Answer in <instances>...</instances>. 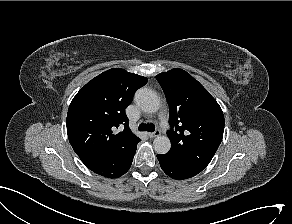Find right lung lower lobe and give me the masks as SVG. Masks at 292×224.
<instances>
[{
    "label": "right lung lower lobe",
    "mask_w": 292,
    "mask_h": 224,
    "mask_svg": "<svg viewBox=\"0 0 292 224\" xmlns=\"http://www.w3.org/2000/svg\"><path fill=\"white\" fill-rule=\"evenodd\" d=\"M135 151L136 147L128 153L121 154L78 153L77 155L94 173L107 178H117L129 170Z\"/></svg>",
    "instance_id": "obj_1"
}]
</instances>
